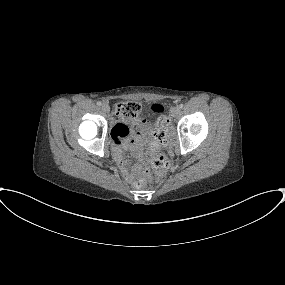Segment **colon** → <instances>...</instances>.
<instances>
[{"label": "colon", "instance_id": "1", "mask_svg": "<svg viewBox=\"0 0 285 285\" xmlns=\"http://www.w3.org/2000/svg\"><path fill=\"white\" fill-rule=\"evenodd\" d=\"M151 110L158 114L155 128L152 130V138L147 143L146 147L139 152V155L150 154L153 150L160 146H166L169 143L168 129L169 118L163 114L164 107L155 103L151 106ZM142 113V107L139 102L130 100L121 102L116 106L117 116L132 122L134 119L140 117ZM171 163L169 158L164 154H158L151 159V168L144 169L141 175L133 178V186L136 188L142 187L146 181L154 174L157 177L165 175L170 169Z\"/></svg>", "mask_w": 285, "mask_h": 285}]
</instances>
